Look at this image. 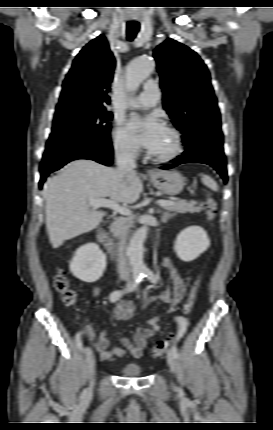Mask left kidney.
Listing matches in <instances>:
<instances>
[{"label": "left kidney", "mask_w": 273, "mask_h": 430, "mask_svg": "<svg viewBox=\"0 0 273 430\" xmlns=\"http://www.w3.org/2000/svg\"><path fill=\"white\" fill-rule=\"evenodd\" d=\"M210 246L207 232L200 226H189L182 230L175 240V252L185 262L193 261Z\"/></svg>", "instance_id": "5707ae66"}]
</instances>
